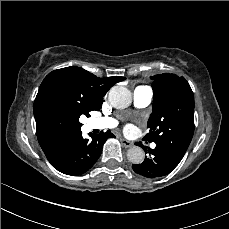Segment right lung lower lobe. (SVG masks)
<instances>
[{"label": "right lung lower lobe", "instance_id": "1", "mask_svg": "<svg viewBox=\"0 0 229 229\" xmlns=\"http://www.w3.org/2000/svg\"><path fill=\"white\" fill-rule=\"evenodd\" d=\"M115 137L110 131L92 134L91 140L84 139L78 131L63 141L46 156L49 162L61 173L77 176L88 171L101 155L103 144Z\"/></svg>", "mask_w": 229, "mask_h": 229}]
</instances>
